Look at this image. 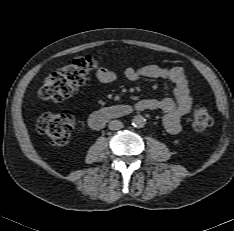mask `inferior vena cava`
<instances>
[{
    "mask_svg": "<svg viewBox=\"0 0 234 231\" xmlns=\"http://www.w3.org/2000/svg\"><path fill=\"white\" fill-rule=\"evenodd\" d=\"M110 130H120L123 128V123L119 120H112L108 125Z\"/></svg>",
    "mask_w": 234,
    "mask_h": 231,
    "instance_id": "602c4592",
    "label": "inferior vena cava"
}]
</instances>
